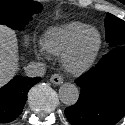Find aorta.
<instances>
[{"instance_id":"762f6f07","label":"aorta","mask_w":125,"mask_h":125,"mask_svg":"<svg viewBox=\"0 0 125 125\" xmlns=\"http://www.w3.org/2000/svg\"><path fill=\"white\" fill-rule=\"evenodd\" d=\"M60 100L66 105H74L79 98V90L76 85L65 83L59 88Z\"/></svg>"}]
</instances>
